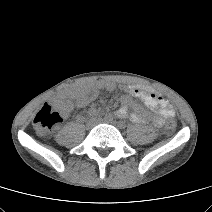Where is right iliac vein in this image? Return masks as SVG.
I'll return each instance as SVG.
<instances>
[{"instance_id": "right-iliac-vein-1", "label": "right iliac vein", "mask_w": 212, "mask_h": 212, "mask_svg": "<svg viewBox=\"0 0 212 212\" xmlns=\"http://www.w3.org/2000/svg\"><path fill=\"white\" fill-rule=\"evenodd\" d=\"M94 125H95V122H94V120H88L87 121V123H86V128L87 129H91V128H93L94 127Z\"/></svg>"}]
</instances>
